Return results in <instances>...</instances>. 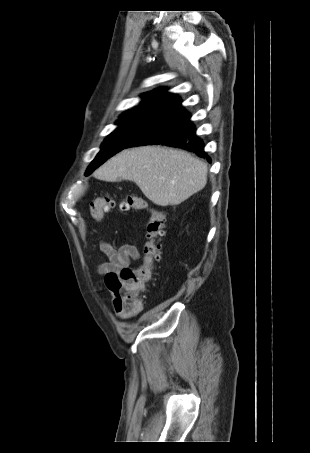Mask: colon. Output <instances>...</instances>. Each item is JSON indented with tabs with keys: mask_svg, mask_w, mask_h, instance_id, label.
<instances>
[{
	"mask_svg": "<svg viewBox=\"0 0 310 453\" xmlns=\"http://www.w3.org/2000/svg\"><path fill=\"white\" fill-rule=\"evenodd\" d=\"M116 200L109 195L95 199L90 204L92 217L101 221L105 214L116 206ZM119 209L126 211L147 210V203L139 196L128 195L118 201ZM165 215L152 210L149 215L144 258L142 264L135 269H123L119 275L109 274L105 277L108 289L112 294L115 312L121 316H132L142 309L139 297L145 286L152 280L154 270L161 257V241L165 234Z\"/></svg>",
	"mask_w": 310,
	"mask_h": 453,
	"instance_id": "colon-1",
	"label": "colon"
}]
</instances>
